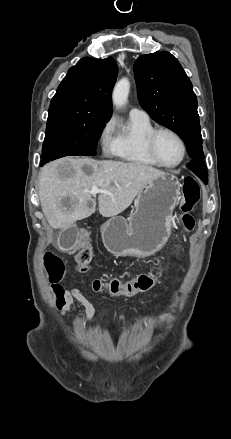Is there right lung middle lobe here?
Returning <instances> with one entry per match:
<instances>
[{
	"label": "right lung middle lobe",
	"mask_w": 231,
	"mask_h": 439,
	"mask_svg": "<svg viewBox=\"0 0 231 439\" xmlns=\"http://www.w3.org/2000/svg\"><path fill=\"white\" fill-rule=\"evenodd\" d=\"M109 119L83 114L48 117L41 165L67 155H96L97 142Z\"/></svg>",
	"instance_id": "obj_1"
}]
</instances>
